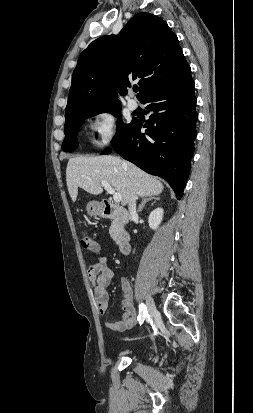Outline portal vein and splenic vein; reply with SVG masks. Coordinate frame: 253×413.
I'll list each match as a JSON object with an SVG mask.
<instances>
[{"instance_id": "obj_1", "label": "portal vein and splenic vein", "mask_w": 253, "mask_h": 413, "mask_svg": "<svg viewBox=\"0 0 253 413\" xmlns=\"http://www.w3.org/2000/svg\"><path fill=\"white\" fill-rule=\"evenodd\" d=\"M102 187H104V189L111 195H113V199L115 202H120L122 199V196L120 193L116 192L112 186L106 182V181H102L101 182Z\"/></svg>"}]
</instances>
